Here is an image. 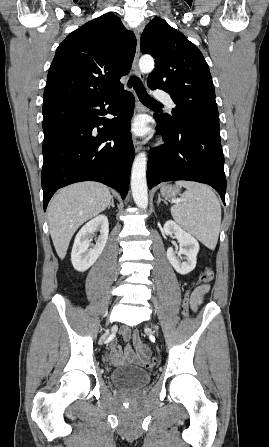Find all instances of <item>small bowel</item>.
I'll return each instance as SVG.
<instances>
[{
    "label": "small bowel",
    "instance_id": "1",
    "mask_svg": "<svg viewBox=\"0 0 269 447\" xmlns=\"http://www.w3.org/2000/svg\"><path fill=\"white\" fill-rule=\"evenodd\" d=\"M209 289L210 286L204 284L199 285L193 290L190 297V305L193 310H197L203 304L204 298L209 292ZM120 335L124 340H128L131 336V331L128 327H123L120 330ZM132 339L133 345L127 343L124 348V353L121 352V349L117 345H112L109 358L113 365H121L126 361L137 365H142L141 360L143 357H151L145 356L143 353L144 348L148 346L142 342L140 339V334L134 333ZM134 348L136 349V353L134 352Z\"/></svg>",
    "mask_w": 269,
    "mask_h": 447
}]
</instances>
